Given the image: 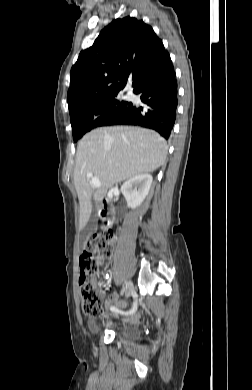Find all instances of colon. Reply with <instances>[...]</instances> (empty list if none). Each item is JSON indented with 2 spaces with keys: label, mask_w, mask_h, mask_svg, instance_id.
<instances>
[{
  "label": "colon",
  "mask_w": 252,
  "mask_h": 390,
  "mask_svg": "<svg viewBox=\"0 0 252 390\" xmlns=\"http://www.w3.org/2000/svg\"><path fill=\"white\" fill-rule=\"evenodd\" d=\"M113 252V235L105 232L87 240L80 256L81 272L79 285L83 311L87 316H103L101 296L96 285L99 260L111 256Z\"/></svg>",
  "instance_id": "5ec220e1"
}]
</instances>
